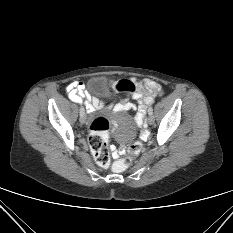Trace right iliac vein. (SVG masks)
Instances as JSON below:
<instances>
[{
    "label": "right iliac vein",
    "mask_w": 233,
    "mask_h": 233,
    "mask_svg": "<svg viewBox=\"0 0 233 233\" xmlns=\"http://www.w3.org/2000/svg\"><path fill=\"white\" fill-rule=\"evenodd\" d=\"M80 121H81V123H86V115H85V112H84V114H82V115H80Z\"/></svg>",
    "instance_id": "right-iliac-vein-1"
}]
</instances>
